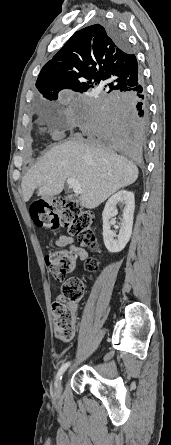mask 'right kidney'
I'll use <instances>...</instances> for the list:
<instances>
[{
    "mask_svg": "<svg viewBox=\"0 0 171 445\" xmlns=\"http://www.w3.org/2000/svg\"><path fill=\"white\" fill-rule=\"evenodd\" d=\"M118 203L123 204V216L121 219V228L119 234L115 235V232L111 230L110 220L116 216ZM135 208L134 193L127 190H120L109 198L106 202L102 219H103V240L105 247L111 253H117L122 251L132 234L133 215Z\"/></svg>",
    "mask_w": 171,
    "mask_h": 445,
    "instance_id": "right-kidney-1",
    "label": "right kidney"
}]
</instances>
